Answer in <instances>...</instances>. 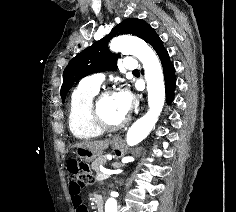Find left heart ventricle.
Returning <instances> with one entry per match:
<instances>
[{"label": "left heart ventricle", "mask_w": 236, "mask_h": 212, "mask_svg": "<svg viewBox=\"0 0 236 212\" xmlns=\"http://www.w3.org/2000/svg\"><path fill=\"white\" fill-rule=\"evenodd\" d=\"M100 110L104 118L110 123H118L124 119L118 112L114 94L105 97L101 101Z\"/></svg>", "instance_id": "obj_1"}]
</instances>
